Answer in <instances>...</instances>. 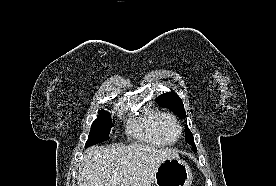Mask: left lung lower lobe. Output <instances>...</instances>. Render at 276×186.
I'll return each instance as SVG.
<instances>
[{
  "label": "left lung lower lobe",
  "mask_w": 276,
  "mask_h": 186,
  "mask_svg": "<svg viewBox=\"0 0 276 186\" xmlns=\"http://www.w3.org/2000/svg\"><path fill=\"white\" fill-rule=\"evenodd\" d=\"M194 152H196L197 151V149L196 148H194V149H192Z\"/></svg>",
  "instance_id": "obj_1"
}]
</instances>
